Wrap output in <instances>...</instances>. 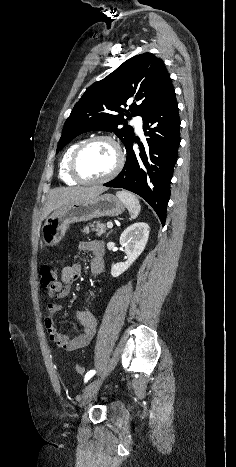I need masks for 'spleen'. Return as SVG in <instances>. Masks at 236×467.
<instances>
[{
	"mask_svg": "<svg viewBox=\"0 0 236 467\" xmlns=\"http://www.w3.org/2000/svg\"><path fill=\"white\" fill-rule=\"evenodd\" d=\"M116 196L121 202L124 203V205L128 209L131 219L136 218L141 210V206H140V202L138 198L134 194L124 191V190L118 191L116 193Z\"/></svg>",
	"mask_w": 236,
	"mask_h": 467,
	"instance_id": "3e777b00",
	"label": "spleen"
}]
</instances>
